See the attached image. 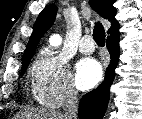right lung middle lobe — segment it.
<instances>
[{
    "mask_svg": "<svg viewBox=\"0 0 142 119\" xmlns=\"http://www.w3.org/2000/svg\"><path fill=\"white\" fill-rule=\"evenodd\" d=\"M30 62V60H28L27 62H25L24 64H22V68H21V75H23L28 67V63Z\"/></svg>",
    "mask_w": 142,
    "mask_h": 119,
    "instance_id": "1",
    "label": "right lung middle lobe"
}]
</instances>
